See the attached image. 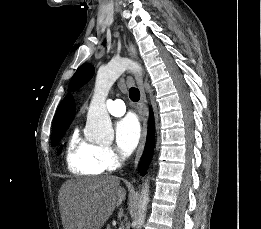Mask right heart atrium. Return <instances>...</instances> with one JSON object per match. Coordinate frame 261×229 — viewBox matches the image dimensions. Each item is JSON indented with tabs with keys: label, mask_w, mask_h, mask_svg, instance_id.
I'll return each mask as SVG.
<instances>
[{
	"label": "right heart atrium",
	"mask_w": 261,
	"mask_h": 229,
	"mask_svg": "<svg viewBox=\"0 0 261 229\" xmlns=\"http://www.w3.org/2000/svg\"><path fill=\"white\" fill-rule=\"evenodd\" d=\"M124 163V157L110 145H100L97 154V164L101 171L113 172Z\"/></svg>",
	"instance_id": "1"
}]
</instances>
